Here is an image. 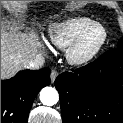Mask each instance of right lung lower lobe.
<instances>
[{"instance_id": "right-lung-lower-lobe-1", "label": "right lung lower lobe", "mask_w": 123, "mask_h": 123, "mask_svg": "<svg viewBox=\"0 0 123 123\" xmlns=\"http://www.w3.org/2000/svg\"><path fill=\"white\" fill-rule=\"evenodd\" d=\"M50 84V69L20 71L1 81V123H27L29 112L41 88Z\"/></svg>"}]
</instances>
